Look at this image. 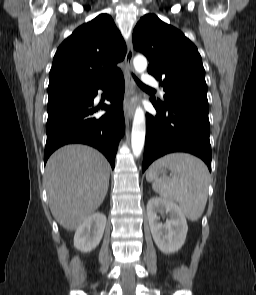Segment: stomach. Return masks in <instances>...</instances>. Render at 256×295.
<instances>
[{"mask_svg": "<svg viewBox=\"0 0 256 295\" xmlns=\"http://www.w3.org/2000/svg\"><path fill=\"white\" fill-rule=\"evenodd\" d=\"M160 171L163 172L164 170L161 168Z\"/></svg>", "mask_w": 256, "mask_h": 295, "instance_id": "0dacf381", "label": "stomach"}]
</instances>
